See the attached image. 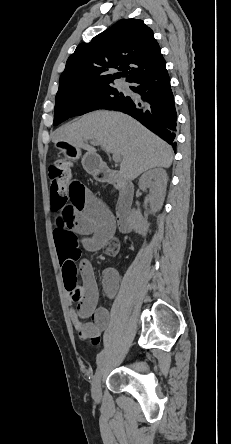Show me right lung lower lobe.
Instances as JSON below:
<instances>
[{"instance_id":"98d812e1","label":"right lung lower lobe","mask_w":231,"mask_h":444,"mask_svg":"<svg viewBox=\"0 0 231 444\" xmlns=\"http://www.w3.org/2000/svg\"><path fill=\"white\" fill-rule=\"evenodd\" d=\"M132 83L137 84V88L131 89L142 95L141 100H133L126 96L110 109L131 115L176 149L177 113L165 66Z\"/></svg>"}]
</instances>
